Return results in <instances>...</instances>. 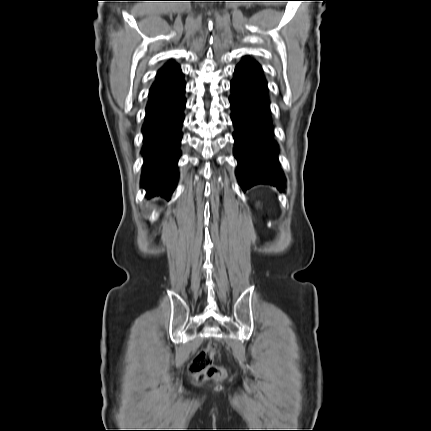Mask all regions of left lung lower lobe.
<instances>
[{"label":"left lung lower lobe","mask_w":431,"mask_h":431,"mask_svg":"<svg viewBox=\"0 0 431 431\" xmlns=\"http://www.w3.org/2000/svg\"><path fill=\"white\" fill-rule=\"evenodd\" d=\"M231 119L235 126L234 156L237 178L243 191L257 184L285 189L278 159V145L270 115L266 81L258 63L244 61L231 81Z\"/></svg>","instance_id":"1"}]
</instances>
